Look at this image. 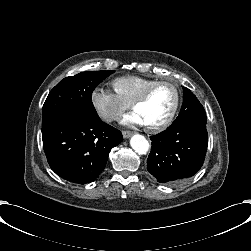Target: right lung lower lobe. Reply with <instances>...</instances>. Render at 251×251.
<instances>
[{
    "label": "right lung lower lobe",
    "mask_w": 251,
    "mask_h": 251,
    "mask_svg": "<svg viewBox=\"0 0 251 251\" xmlns=\"http://www.w3.org/2000/svg\"><path fill=\"white\" fill-rule=\"evenodd\" d=\"M42 140L51 169L69 182L85 184L101 174L111 148L123 137L99 117L70 111L42 125Z\"/></svg>",
    "instance_id": "1"
}]
</instances>
